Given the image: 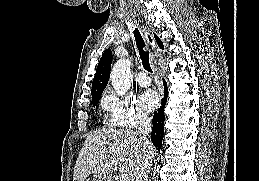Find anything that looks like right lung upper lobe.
Segmentation results:
<instances>
[{"label":"right lung upper lobe","instance_id":"right-lung-upper-lobe-1","mask_svg":"<svg viewBox=\"0 0 259 181\" xmlns=\"http://www.w3.org/2000/svg\"><path fill=\"white\" fill-rule=\"evenodd\" d=\"M154 37L159 47L163 49V43L160 38L156 34H154ZM111 62L112 51L107 49L103 53L96 69L91 90L92 98L101 95L104 88L106 87L110 77Z\"/></svg>","mask_w":259,"mask_h":181}]
</instances>
